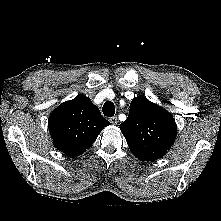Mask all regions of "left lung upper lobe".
I'll list each match as a JSON object with an SVG mask.
<instances>
[{
  "mask_svg": "<svg viewBox=\"0 0 221 221\" xmlns=\"http://www.w3.org/2000/svg\"><path fill=\"white\" fill-rule=\"evenodd\" d=\"M131 152L142 161H155L173 145L177 126L172 115L144 96L130 104L129 116L120 124Z\"/></svg>",
  "mask_w": 221,
  "mask_h": 221,
  "instance_id": "left-lung-upper-lobe-1",
  "label": "left lung upper lobe"
}]
</instances>
